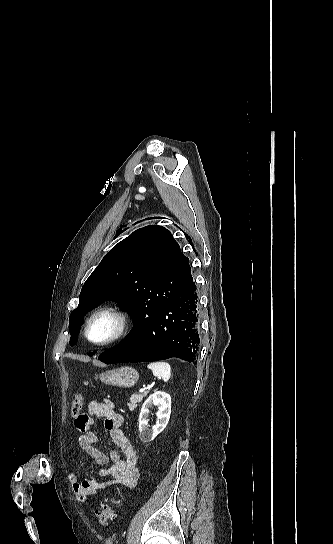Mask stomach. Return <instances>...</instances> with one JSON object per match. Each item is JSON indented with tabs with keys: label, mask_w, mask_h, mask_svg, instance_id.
I'll return each instance as SVG.
<instances>
[{
	"label": "stomach",
	"mask_w": 333,
	"mask_h": 544,
	"mask_svg": "<svg viewBox=\"0 0 333 544\" xmlns=\"http://www.w3.org/2000/svg\"><path fill=\"white\" fill-rule=\"evenodd\" d=\"M102 382L112 386L130 388L139 380V373L132 367H121L100 375Z\"/></svg>",
	"instance_id": "0dacf381"
}]
</instances>
